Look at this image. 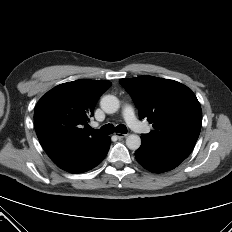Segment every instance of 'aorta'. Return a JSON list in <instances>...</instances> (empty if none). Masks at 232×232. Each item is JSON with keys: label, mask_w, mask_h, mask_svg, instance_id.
<instances>
[{"label": "aorta", "mask_w": 232, "mask_h": 232, "mask_svg": "<svg viewBox=\"0 0 232 232\" xmlns=\"http://www.w3.org/2000/svg\"><path fill=\"white\" fill-rule=\"evenodd\" d=\"M101 109L112 114L118 111L120 107L119 99L114 95H105L100 101ZM141 145V138L136 134H131L126 138V146L131 150H137Z\"/></svg>", "instance_id": "obj_1"}]
</instances>
